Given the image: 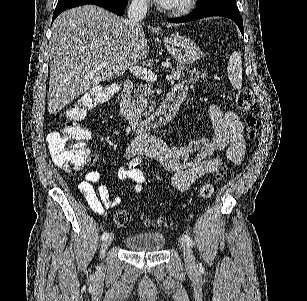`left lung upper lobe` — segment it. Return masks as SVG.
<instances>
[{
	"label": "left lung upper lobe",
	"mask_w": 307,
	"mask_h": 301,
	"mask_svg": "<svg viewBox=\"0 0 307 301\" xmlns=\"http://www.w3.org/2000/svg\"><path fill=\"white\" fill-rule=\"evenodd\" d=\"M208 8L239 11L235 0H198V5L195 10H204Z\"/></svg>",
	"instance_id": "5c2ea615"
}]
</instances>
